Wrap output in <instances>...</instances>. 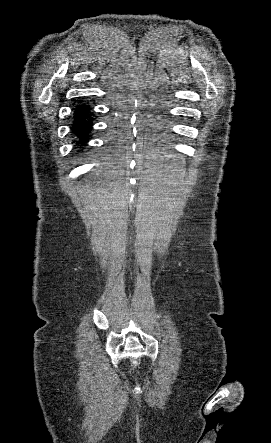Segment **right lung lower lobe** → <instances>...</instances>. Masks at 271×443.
<instances>
[{
  "label": "right lung lower lobe",
  "instance_id": "98d812e1",
  "mask_svg": "<svg viewBox=\"0 0 271 443\" xmlns=\"http://www.w3.org/2000/svg\"><path fill=\"white\" fill-rule=\"evenodd\" d=\"M91 126L89 106L86 104L78 105L75 108L72 130L80 138L78 141L79 144L86 142L87 134L90 132Z\"/></svg>",
  "mask_w": 271,
  "mask_h": 443
}]
</instances>
